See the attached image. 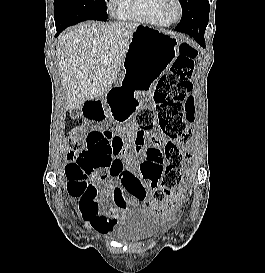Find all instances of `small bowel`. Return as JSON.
I'll return each mask as SVG.
<instances>
[{
    "label": "small bowel",
    "instance_id": "obj_1",
    "mask_svg": "<svg viewBox=\"0 0 265 273\" xmlns=\"http://www.w3.org/2000/svg\"><path fill=\"white\" fill-rule=\"evenodd\" d=\"M133 95V91H112L104 108L100 103H86L85 107L90 109H84L83 118L89 119V123H103V119H106L105 110L116 117V123H123L124 119L129 116L131 108H137V103H129L136 102V97L119 98L117 96ZM74 128L92 129V124H75ZM136 130L137 127L130 123L129 133L133 134ZM112 148V162L109 169L105 170L108 175L96 172L94 176L95 180L108 176L110 178L108 184L96 190L95 194L83 193L72 196L79 201V210L83 219L101 234L111 233L129 208L148 203L147 199L151 191L147 190L145 184H151L153 171L163 168L166 163L165 159H159L148 150L143 160L136 161L133 156L127 154L125 144L120 138L112 141ZM136 170H139L140 177ZM116 179L120 184L114 181ZM109 197H112L113 203L105 206ZM152 208L161 218L166 217L171 210L165 206H153Z\"/></svg>",
    "mask_w": 265,
    "mask_h": 273
}]
</instances>
